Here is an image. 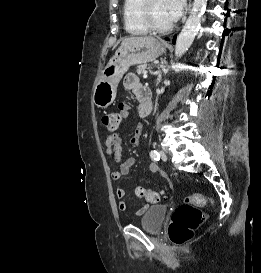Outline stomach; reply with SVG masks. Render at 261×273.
Here are the masks:
<instances>
[{
  "label": "stomach",
  "instance_id": "stomach-1",
  "mask_svg": "<svg viewBox=\"0 0 261 273\" xmlns=\"http://www.w3.org/2000/svg\"><path fill=\"white\" fill-rule=\"evenodd\" d=\"M165 51L166 44L152 37L121 45L94 86V104L99 108H107L115 100L118 83L130 66L154 61Z\"/></svg>",
  "mask_w": 261,
  "mask_h": 273
}]
</instances>
